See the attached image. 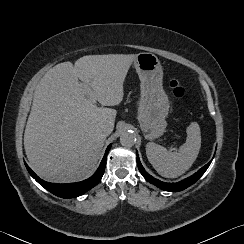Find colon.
<instances>
[{"label":"colon","mask_w":244,"mask_h":244,"mask_svg":"<svg viewBox=\"0 0 244 244\" xmlns=\"http://www.w3.org/2000/svg\"><path fill=\"white\" fill-rule=\"evenodd\" d=\"M172 95L178 99L183 100L186 97V89L185 87L178 81V80H172L169 84Z\"/></svg>","instance_id":"5ec220e1"}]
</instances>
